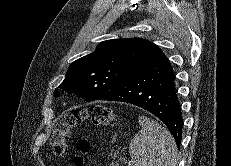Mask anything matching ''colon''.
<instances>
[{"label":"colon","instance_id":"1","mask_svg":"<svg viewBox=\"0 0 231 166\" xmlns=\"http://www.w3.org/2000/svg\"><path fill=\"white\" fill-rule=\"evenodd\" d=\"M89 116L97 127L112 125L116 120L114 111L107 105H94L90 110L84 108L72 110L63 116L54 128L51 146L55 155L64 156L66 154L72 129L77 123L86 120ZM77 149L79 153L73 158V165L84 166L85 155L91 149L90 141L80 139L77 143Z\"/></svg>","mask_w":231,"mask_h":166}]
</instances>
